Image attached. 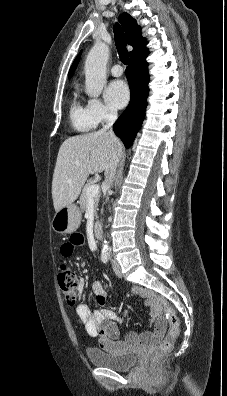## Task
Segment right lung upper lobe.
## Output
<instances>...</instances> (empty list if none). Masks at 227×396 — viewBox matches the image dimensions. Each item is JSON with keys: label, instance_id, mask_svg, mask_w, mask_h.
<instances>
[{"label": "right lung upper lobe", "instance_id": "right-lung-upper-lobe-1", "mask_svg": "<svg viewBox=\"0 0 227 396\" xmlns=\"http://www.w3.org/2000/svg\"><path fill=\"white\" fill-rule=\"evenodd\" d=\"M119 21L121 22L127 36V42L129 45L133 47V50L130 52V57L146 46L147 41L145 38L141 36V27L138 26L135 19H133L128 13L124 12L122 15L119 16ZM80 59V55L76 57L74 60L70 71H69V78L72 77L78 62Z\"/></svg>", "mask_w": 227, "mask_h": 396}]
</instances>
